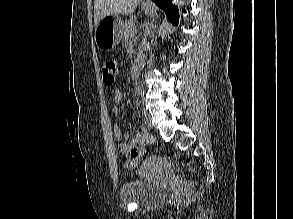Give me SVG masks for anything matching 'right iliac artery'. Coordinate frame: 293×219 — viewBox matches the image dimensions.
Listing matches in <instances>:
<instances>
[{
    "mask_svg": "<svg viewBox=\"0 0 293 219\" xmlns=\"http://www.w3.org/2000/svg\"><path fill=\"white\" fill-rule=\"evenodd\" d=\"M140 104V102L138 101V99L136 100V106L138 107Z\"/></svg>",
    "mask_w": 293,
    "mask_h": 219,
    "instance_id": "82829eb1",
    "label": "right iliac artery"
}]
</instances>
